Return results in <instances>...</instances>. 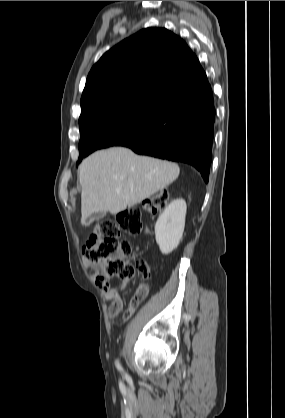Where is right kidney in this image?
I'll return each mask as SVG.
<instances>
[{
    "instance_id": "1",
    "label": "right kidney",
    "mask_w": 285,
    "mask_h": 418,
    "mask_svg": "<svg viewBox=\"0 0 285 418\" xmlns=\"http://www.w3.org/2000/svg\"><path fill=\"white\" fill-rule=\"evenodd\" d=\"M186 208L185 200L176 199L159 216L155 237L162 254L171 253L179 245L185 227Z\"/></svg>"
}]
</instances>
